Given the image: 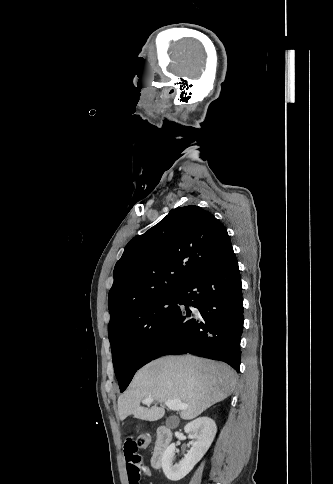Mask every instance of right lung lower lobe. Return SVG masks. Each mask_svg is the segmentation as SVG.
Listing matches in <instances>:
<instances>
[{
  "label": "right lung lower lobe",
  "mask_w": 333,
  "mask_h": 484,
  "mask_svg": "<svg viewBox=\"0 0 333 484\" xmlns=\"http://www.w3.org/2000/svg\"><path fill=\"white\" fill-rule=\"evenodd\" d=\"M243 321L240 272L230 245L179 291L177 308L137 369L160 356L190 353L225 361L239 372Z\"/></svg>",
  "instance_id": "obj_1"
}]
</instances>
